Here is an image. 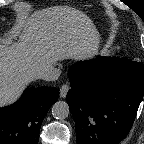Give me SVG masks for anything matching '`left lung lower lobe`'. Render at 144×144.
<instances>
[{"label":"left lung lower lobe","mask_w":144,"mask_h":144,"mask_svg":"<svg viewBox=\"0 0 144 144\" xmlns=\"http://www.w3.org/2000/svg\"><path fill=\"white\" fill-rule=\"evenodd\" d=\"M67 102L77 144H118L129 133L144 94V64L127 58L80 61L69 71Z\"/></svg>","instance_id":"obj_1"}]
</instances>
